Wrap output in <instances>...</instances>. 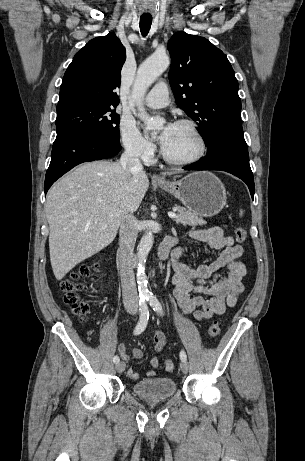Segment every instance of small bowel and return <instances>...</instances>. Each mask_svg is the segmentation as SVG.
Wrapping results in <instances>:
<instances>
[{
    "label": "small bowel",
    "mask_w": 305,
    "mask_h": 461,
    "mask_svg": "<svg viewBox=\"0 0 305 461\" xmlns=\"http://www.w3.org/2000/svg\"><path fill=\"white\" fill-rule=\"evenodd\" d=\"M189 236L195 241L206 243L211 249L222 250L214 261L196 268L179 261L185 252L184 247H177L172 253V284L177 303L185 314L203 321L223 314L227 307L236 305L244 290L242 280L247 274L245 263L239 260L245 252L220 227L192 230ZM152 340L155 350L160 352L167 343V336L162 331H155ZM119 352L123 360L129 359L124 344H120ZM131 354L135 359L143 356L138 348H133ZM150 364L153 370L148 371L147 375L153 377L160 361L154 356L150 359ZM127 375L133 379L140 377L133 368L127 370Z\"/></svg>",
    "instance_id": "obj_1"
}]
</instances>
